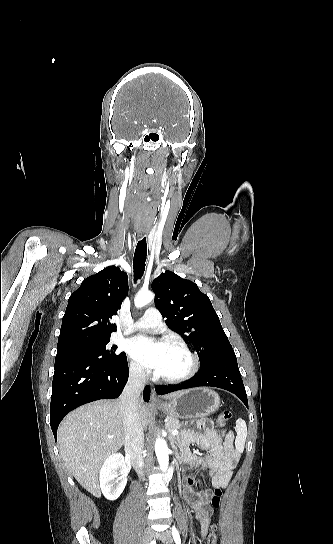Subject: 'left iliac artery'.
Returning a JSON list of instances; mask_svg holds the SVG:
<instances>
[{
	"instance_id": "left-iliac-artery-1",
	"label": "left iliac artery",
	"mask_w": 333,
	"mask_h": 544,
	"mask_svg": "<svg viewBox=\"0 0 333 544\" xmlns=\"http://www.w3.org/2000/svg\"><path fill=\"white\" fill-rule=\"evenodd\" d=\"M172 534H173V538H174V541L176 544H181V538H180V534L178 532V530L176 529L175 526L172 527Z\"/></svg>"
}]
</instances>
